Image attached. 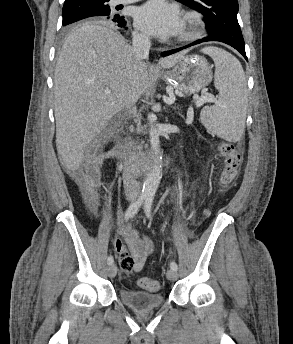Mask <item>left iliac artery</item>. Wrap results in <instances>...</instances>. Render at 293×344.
<instances>
[{"label": "left iliac artery", "instance_id": "44dca946", "mask_svg": "<svg viewBox=\"0 0 293 344\" xmlns=\"http://www.w3.org/2000/svg\"><path fill=\"white\" fill-rule=\"evenodd\" d=\"M153 202V196H148L145 200L144 210L148 218H151V206ZM170 268L173 270H178V265L175 261L170 262Z\"/></svg>", "mask_w": 293, "mask_h": 344}]
</instances>
